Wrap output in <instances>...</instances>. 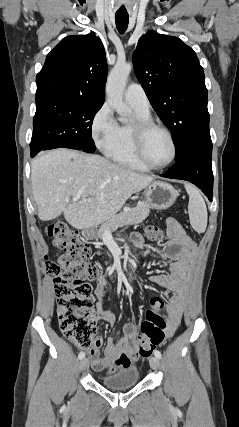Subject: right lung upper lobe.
Masks as SVG:
<instances>
[{"instance_id": "cb5924a9", "label": "right lung upper lobe", "mask_w": 239, "mask_h": 427, "mask_svg": "<svg viewBox=\"0 0 239 427\" xmlns=\"http://www.w3.org/2000/svg\"><path fill=\"white\" fill-rule=\"evenodd\" d=\"M107 70L99 37L93 33L67 36L49 52L37 74L35 98L103 104Z\"/></svg>"}]
</instances>
